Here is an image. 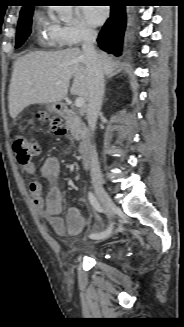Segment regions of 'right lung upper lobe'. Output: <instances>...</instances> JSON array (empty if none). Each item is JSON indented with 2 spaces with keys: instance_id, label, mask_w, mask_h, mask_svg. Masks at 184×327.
Instances as JSON below:
<instances>
[{
  "instance_id": "obj_1",
  "label": "right lung upper lobe",
  "mask_w": 184,
  "mask_h": 327,
  "mask_svg": "<svg viewBox=\"0 0 184 327\" xmlns=\"http://www.w3.org/2000/svg\"><path fill=\"white\" fill-rule=\"evenodd\" d=\"M26 3H30V1H29V0H26ZM31 8H33L32 5L26 4V5H24V6L22 7L21 12H24V11L29 10V9H31ZM21 12H20V13H21Z\"/></svg>"
}]
</instances>
